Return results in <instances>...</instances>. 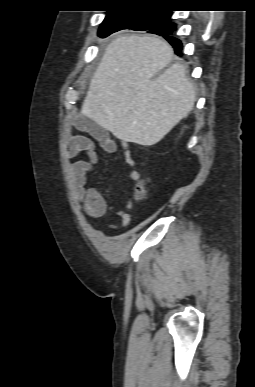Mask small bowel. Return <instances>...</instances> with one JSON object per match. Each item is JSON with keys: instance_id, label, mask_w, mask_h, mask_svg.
<instances>
[{"instance_id": "c3829d8e", "label": "small bowel", "mask_w": 255, "mask_h": 387, "mask_svg": "<svg viewBox=\"0 0 255 387\" xmlns=\"http://www.w3.org/2000/svg\"><path fill=\"white\" fill-rule=\"evenodd\" d=\"M70 128L88 134V136L71 134L66 144V153L70 159L76 158L81 152L87 153V159L74 161L70 167L73 196L82 204L84 211L90 217L98 218L106 214L109 207L105 197L96 188L86 186L87 175L97 162L93 139L99 142L106 153H115L118 145L104 127L86 117L77 116L71 119ZM122 149L126 164L132 168L128 173V179L136 182L140 179V173L135 168L136 161L125 144H122ZM129 207L130 203L127 202L125 208ZM115 213L120 217L123 227L130 224V215L125 210H119ZM110 229L115 230L116 227L111 226Z\"/></svg>"}]
</instances>
